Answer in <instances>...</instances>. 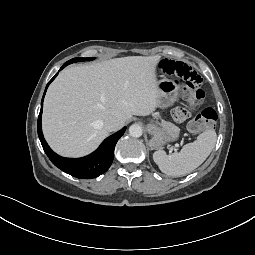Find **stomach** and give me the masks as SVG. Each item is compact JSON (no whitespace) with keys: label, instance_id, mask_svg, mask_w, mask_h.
<instances>
[{"label":"stomach","instance_id":"1","mask_svg":"<svg viewBox=\"0 0 255 255\" xmlns=\"http://www.w3.org/2000/svg\"><path fill=\"white\" fill-rule=\"evenodd\" d=\"M159 90L158 106L166 108L171 106L178 98L179 85L170 80H161L157 84ZM148 132L152 135L150 146L152 148H161L165 143L174 141L178 138L179 133L161 125L157 126L154 123L147 125Z\"/></svg>","mask_w":255,"mask_h":255}]
</instances>
